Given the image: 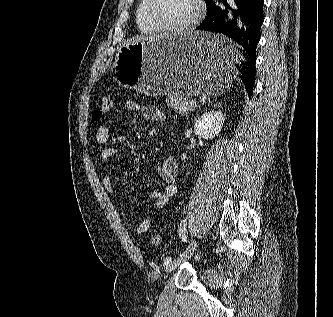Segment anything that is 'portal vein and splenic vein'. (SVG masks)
Returning <instances> with one entry per match:
<instances>
[{
	"label": "portal vein and splenic vein",
	"mask_w": 333,
	"mask_h": 317,
	"mask_svg": "<svg viewBox=\"0 0 333 317\" xmlns=\"http://www.w3.org/2000/svg\"><path fill=\"white\" fill-rule=\"evenodd\" d=\"M190 104H196V101L195 100H191Z\"/></svg>",
	"instance_id": "1"
}]
</instances>
